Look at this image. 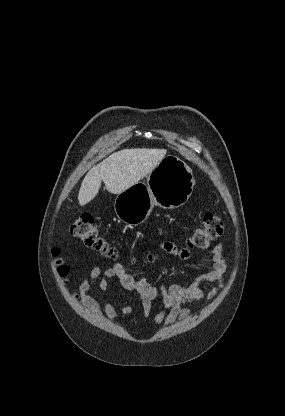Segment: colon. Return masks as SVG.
<instances>
[{"instance_id": "5ec220e1", "label": "colon", "mask_w": 285, "mask_h": 416, "mask_svg": "<svg viewBox=\"0 0 285 416\" xmlns=\"http://www.w3.org/2000/svg\"><path fill=\"white\" fill-rule=\"evenodd\" d=\"M224 224L221 218L214 212L208 211L203 218V225L197 228L188 240L190 249L202 250L210 246L223 233ZM70 233L85 246L100 252L110 259L118 257L117 250L109 245L99 234L95 218L90 214L81 215L71 226ZM58 272L64 276L68 272L67 266L58 262Z\"/></svg>"}]
</instances>
